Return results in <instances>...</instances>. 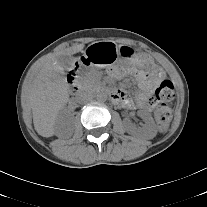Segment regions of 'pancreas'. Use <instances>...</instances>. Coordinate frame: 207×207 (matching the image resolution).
Instances as JSON below:
<instances>
[{
    "instance_id": "cf45deb5",
    "label": "pancreas",
    "mask_w": 207,
    "mask_h": 207,
    "mask_svg": "<svg viewBox=\"0 0 207 207\" xmlns=\"http://www.w3.org/2000/svg\"><path fill=\"white\" fill-rule=\"evenodd\" d=\"M95 81V72H84L83 73V80L82 85L85 87H91L94 84Z\"/></svg>"
}]
</instances>
